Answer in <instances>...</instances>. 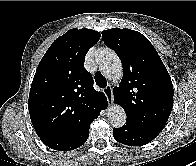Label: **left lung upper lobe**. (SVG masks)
Masks as SVG:
<instances>
[{"mask_svg": "<svg viewBox=\"0 0 196 166\" xmlns=\"http://www.w3.org/2000/svg\"><path fill=\"white\" fill-rule=\"evenodd\" d=\"M102 37L123 64V78L113 94L125 110L126 123L160 133L173 107L174 90L157 51L144 35L130 29L105 30Z\"/></svg>", "mask_w": 196, "mask_h": 166, "instance_id": "obj_1", "label": "left lung upper lobe"}]
</instances>
